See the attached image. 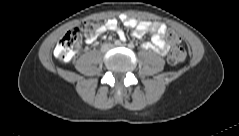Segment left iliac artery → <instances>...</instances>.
<instances>
[{
	"mask_svg": "<svg viewBox=\"0 0 239 136\" xmlns=\"http://www.w3.org/2000/svg\"><path fill=\"white\" fill-rule=\"evenodd\" d=\"M128 47L132 49V48H134V44L133 43H129Z\"/></svg>",
	"mask_w": 239,
	"mask_h": 136,
	"instance_id": "1",
	"label": "left iliac artery"
}]
</instances>
